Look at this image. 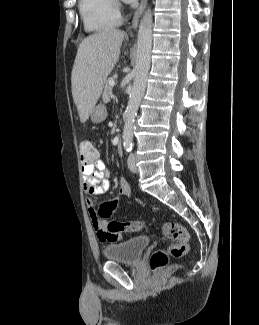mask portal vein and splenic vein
Returning <instances> with one entry per match:
<instances>
[{"label":"portal vein and splenic vein","instance_id":"portal-vein-and-splenic-vein-1","mask_svg":"<svg viewBox=\"0 0 259 325\" xmlns=\"http://www.w3.org/2000/svg\"><path fill=\"white\" fill-rule=\"evenodd\" d=\"M110 85L111 86H114L115 85V81L114 80L110 81Z\"/></svg>","mask_w":259,"mask_h":325}]
</instances>
